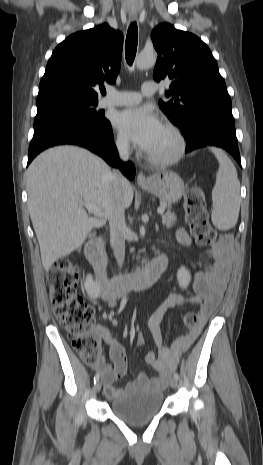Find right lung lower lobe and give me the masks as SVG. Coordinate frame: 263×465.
<instances>
[{
	"label": "right lung lower lobe",
	"mask_w": 263,
	"mask_h": 465,
	"mask_svg": "<svg viewBox=\"0 0 263 465\" xmlns=\"http://www.w3.org/2000/svg\"><path fill=\"white\" fill-rule=\"evenodd\" d=\"M62 144L78 145L101 156L108 164L119 167L129 179L135 176L131 162L121 163L114 144L111 124L99 127L73 120H53L34 127L28 152V164L41 151Z\"/></svg>",
	"instance_id": "right-lung-lower-lobe-1"
}]
</instances>
